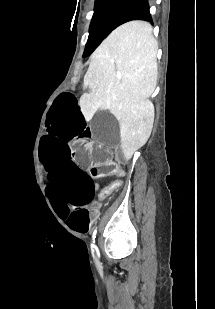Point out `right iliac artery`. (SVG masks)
<instances>
[{"label": "right iliac artery", "mask_w": 215, "mask_h": 309, "mask_svg": "<svg viewBox=\"0 0 215 309\" xmlns=\"http://www.w3.org/2000/svg\"><path fill=\"white\" fill-rule=\"evenodd\" d=\"M96 233H97V229H94L93 234H92V243H91L92 252L94 251V249H96V245L94 244L95 238H96Z\"/></svg>", "instance_id": "82829eb1"}]
</instances>
